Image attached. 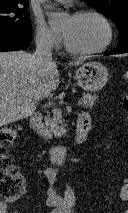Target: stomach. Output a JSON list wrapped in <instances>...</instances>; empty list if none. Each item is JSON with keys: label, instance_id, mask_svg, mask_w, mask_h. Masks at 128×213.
Masks as SVG:
<instances>
[{"label": "stomach", "instance_id": "stomach-1", "mask_svg": "<svg viewBox=\"0 0 128 213\" xmlns=\"http://www.w3.org/2000/svg\"><path fill=\"white\" fill-rule=\"evenodd\" d=\"M107 68L99 62H87L76 70L78 85L90 92L100 90L108 80Z\"/></svg>", "mask_w": 128, "mask_h": 213}]
</instances>
